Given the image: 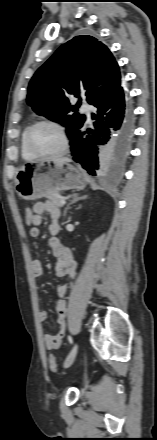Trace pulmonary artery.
<instances>
[{"instance_id": "obj_1", "label": "pulmonary artery", "mask_w": 157, "mask_h": 440, "mask_svg": "<svg viewBox=\"0 0 157 440\" xmlns=\"http://www.w3.org/2000/svg\"><path fill=\"white\" fill-rule=\"evenodd\" d=\"M82 111L86 114L87 119L90 120V116H91V112H92L91 106L88 104H83Z\"/></svg>"}]
</instances>
